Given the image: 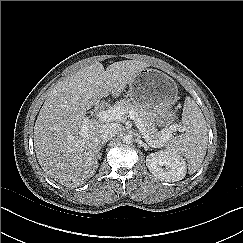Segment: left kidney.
<instances>
[{
    "instance_id": "left-kidney-1",
    "label": "left kidney",
    "mask_w": 243,
    "mask_h": 243,
    "mask_svg": "<svg viewBox=\"0 0 243 243\" xmlns=\"http://www.w3.org/2000/svg\"><path fill=\"white\" fill-rule=\"evenodd\" d=\"M146 166L157 179L166 182L182 180L187 169L183 157L167 151L149 154L146 157Z\"/></svg>"
}]
</instances>
